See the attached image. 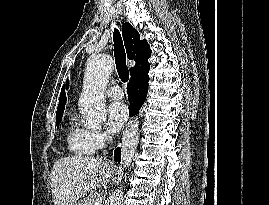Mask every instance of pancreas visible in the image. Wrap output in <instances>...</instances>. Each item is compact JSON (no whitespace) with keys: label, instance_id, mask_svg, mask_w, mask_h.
Instances as JSON below:
<instances>
[{"label":"pancreas","instance_id":"1","mask_svg":"<svg viewBox=\"0 0 269 205\" xmlns=\"http://www.w3.org/2000/svg\"><path fill=\"white\" fill-rule=\"evenodd\" d=\"M96 199L97 198L94 195V191H91L90 195L84 199V203H85V205H94Z\"/></svg>","mask_w":269,"mask_h":205}]
</instances>
